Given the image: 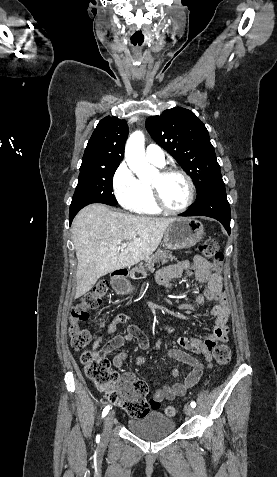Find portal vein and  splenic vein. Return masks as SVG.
Returning <instances> with one entry per match:
<instances>
[{
  "instance_id": "18ae733b",
  "label": "portal vein and splenic vein",
  "mask_w": 277,
  "mask_h": 477,
  "mask_svg": "<svg viewBox=\"0 0 277 477\" xmlns=\"http://www.w3.org/2000/svg\"><path fill=\"white\" fill-rule=\"evenodd\" d=\"M127 244H128L127 242L122 243L121 246H119V248H121V249L126 248Z\"/></svg>"
}]
</instances>
